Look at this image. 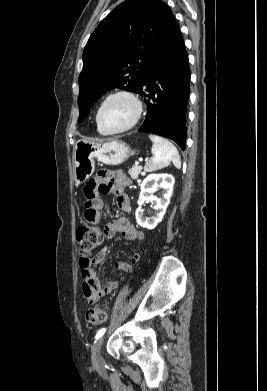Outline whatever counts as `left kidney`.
Instances as JSON below:
<instances>
[{
  "mask_svg": "<svg viewBox=\"0 0 267 391\" xmlns=\"http://www.w3.org/2000/svg\"><path fill=\"white\" fill-rule=\"evenodd\" d=\"M175 179L171 174H150L141 184L138 205L135 216L137 223L147 229H154L160 223L166 213V208L170 203V197L173 193ZM158 188L163 189L162 198H157L152 193ZM145 201L154 204L155 215L151 218L144 216L142 205Z\"/></svg>",
  "mask_w": 267,
  "mask_h": 391,
  "instance_id": "5707ae66",
  "label": "left kidney"
}]
</instances>
